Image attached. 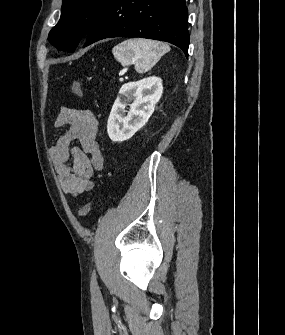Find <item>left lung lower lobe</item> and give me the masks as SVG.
Returning a JSON list of instances; mask_svg holds the SVG:
<instances>
[{
    "label": "left lung lower lobe",
    "instance_id": "left-lung-lower-lobe-1",
    "mask_svg": "<svg viewBox=\"0 0 285 335\" xmlns=\"http://www.w3.org/2000/svg\"><path fill=\"white\" fill-rule=\"evenodd\" d=\"M185 0H111L88 32L84 47L105 38L141 37L178 46L188 58Z\"/></svg>",
    "mask_w": 285,
    "mask_h": 335
}]
</instances>
